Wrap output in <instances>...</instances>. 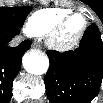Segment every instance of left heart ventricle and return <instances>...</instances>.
Returning a JSON list of instances; mask_svg holds the SVG:
<instances>
[{
	"label": "left heart ventricle",
	"mask_w": 103,
	"mask_h": 103,
	"mask_svg": "<svg viewBox=\"0 0 103 103\" xmlns=\"http://www.w3.org/2000/svg\"><path fill=\"white\" fill-rule=\"evenodd\" d=\"M84 24V20L82 16H75L73 17L65 26L62 32V39L68 40L74 37L79 31L82 29Z\"/></svg>",
	"instance_id": "1"
}]
</instances>
